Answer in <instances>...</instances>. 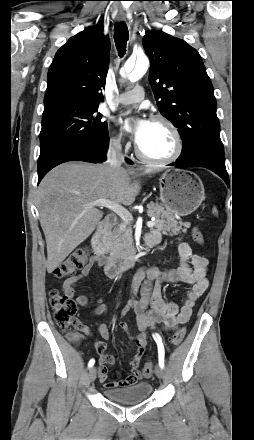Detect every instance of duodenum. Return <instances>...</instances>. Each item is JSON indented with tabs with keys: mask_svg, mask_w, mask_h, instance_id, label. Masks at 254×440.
Masks as SVG:
<instances>
[{
	"mask_svg": "<svg viewBox=\"0 0 254 440\" xmlns=\"http://www.w3.org/2000/svg\"><path fill=\"white\" fill-rule=\"evenodd\" d=\"M116 217L112 214L99 223L96 232L91 239V245L94 253L104 260L105 273L108 277L114 278L122 271H125L135 264L136 258L133 251L126 252L122 256H116L105 261L107 255V247L105 244V236L115 226Z\"/></svg>",
	"mask_w": 254,
	"mask_h": 440,
	"instance_id": "obj_1",
	"label": "duodenum"
}]
</instances>
